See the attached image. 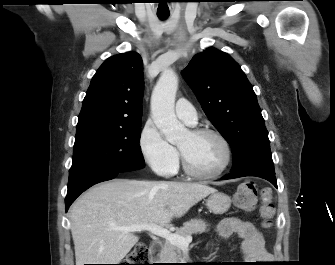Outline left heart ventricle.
Returning <instances> with one entry per match:
<instances>
[{"label": "left heart ventricle", "mask_w": 335, "mask_h": 265, "mask_svg": "<svg viewBox=\"0 0 335 265\" xmlns=\"http://www.w3.org/2000/svg\"><path fill=\"white\" fill-rule=\"evenodd\" d=\"M178 147L189 165L201 173L216 171L224 161V148L214 136L196 137L188 132L178 142Z\"/></svg>", "instance_id": "1"}]
</instances>
